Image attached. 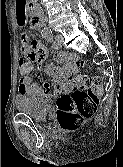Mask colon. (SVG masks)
I'll return each instance as SVG.
<instances>
[{
  "instance_id": "5ec220e1",
  "label": "colon",
  "mask_w": 123,
  "mask_h": 167,
  "mask_svg": "<svg viewBox=\"0 0 123 167\" xmlns=\"http://www.w3.org/2000/svg\"><path fill=\"white\" fill-rule=\"evenodd\" d=\"M59 59H73V56L63 54ZM28 63L27 58L19 60L22 69ZM73 83L72 92L64 93L57 99L59 124L68 131L78 128L85 119L94 115L103 89V81L97 76L79 75ZM43 88L47 90L48 84H44Z\"/></svg>"
}]
</instances>
